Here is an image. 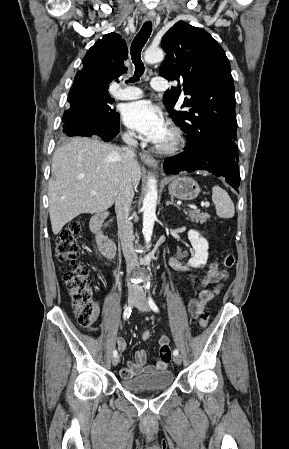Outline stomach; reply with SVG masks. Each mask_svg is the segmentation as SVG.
<instances>
[{
	"mask_svg": "<svg viewBox=\"0 0 289 449\" xmlns=\"http://www.w3.org/2000/svg\"><path fill=\"white\" fill-rule=\"evenodd\" d=\"M168 189L171 195L186 201L195 199L200 192L198 183L185 176L174 178Z\"/></svg>",
	"mask_w": 289,
	"mask_h": 449,
	"instance_id": "stomach-1",
	"label": "stomach"
}]
</instances>
